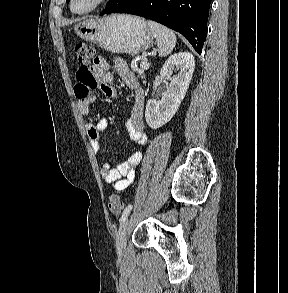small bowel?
<instances>
[{"mask_svg":"<svg viewBox=\"0 0 288 293\" xmlns=\"http://www.w3.org/2000/svg\"><path fill=\"white\" fill-rule=\"evenodd\" d=\"M113 66L125 85L134 90V104L127 120V128L132 142L144 145L148 142V136L144 131L143 112L145 105V94L140 87L136 76L130 71L126 62L121 58H114ZM77 84L75 85V96L78 99V108L82 115H88L90 106L96 102V97L90 94L91 90L99 89L107 97L116 98L117 91L111 86L114 76L111 72V64L102 57H97L94 64L89 67H80L76 73ZM107 127L104 116H100L95 122L86 124V132L90 143L96 152L101 148V135ZM143 156V151H136L126 160L112 167L109 162L101 166L103 180L113 186L116 190L126 189L134 180L137 166Z\"/></svg>","mask_w":288,"mask_h":293,"instance_id":"c3829d8e","label":"small bowel"}]
</instances>
